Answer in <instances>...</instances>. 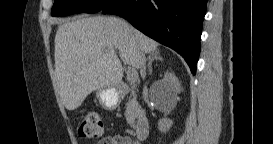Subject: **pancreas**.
<instances>
[{
  "mask_svg": "<svg viewBox=\"0 0 273 144\" xmlns=\"http://www.w3.org/2000/svg\"><path fill=\"white\" fill-rule=\"evenodd\" d=\"M139 111L140 110L138 106L136 105L135 100L133 98H130L127 102L126 111H125V117L129 125H133L135 123V119Z\"/></svg>",
  "mask_w": 273,
  "mask_h": 144,
  "instance_id": "obj_1",
  "label": "pancreas"
}]
</instances>
